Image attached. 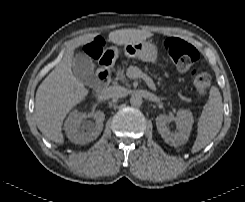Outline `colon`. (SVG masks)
I'll return each mask as SVG.
<instances>
[{
    "label": "colon",
    "instance_id": "5ec220e1",
    "mask_svg": "<svg viewBox=\"0 0 245 202\" xmlns=\"http://www.w3.org/2000/svg\"><path fill=\"white\" fill-rule=\"evenodd\" d=\"M100 50L97 40L87 41L80 45L79 54L95 60ZM163 50L175 69L181 73L193 67L200 57L199 51L194 46L175 37H168L163 41ZM192 80L198 95L205 94L211 85V75L207 71L194 70Z\"/></svg>",
    "mask_w": 245,
    "mask_h": 202
}]
</instances>
